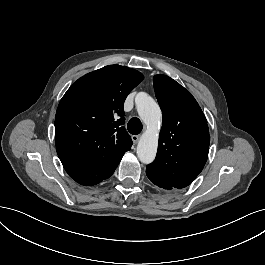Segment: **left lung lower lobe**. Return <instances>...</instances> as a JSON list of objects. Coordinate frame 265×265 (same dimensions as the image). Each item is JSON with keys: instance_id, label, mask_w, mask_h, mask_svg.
I'll return each instance as SVG.
<instances>
[{"instance_id": "1", "label": "left lung lower lobe", "mask_w": 265, "mask_h": 265, "mask_svg": "<svg viewBox=\"0 0 265 265\" xmlns=\"http://www.w3.org/2000/svg\"><path fill=\"white\" fill-rule=\"evenodd\" d=\"M147 176H148V178L150 179V181H151L153 184L157 185V186L160 187V188H163V189H166V190H172V189H174V188H171V187L165 185L163 182L159 181L158 179L151 177V176L148 175V174H147Z\"/></svg>"}]
</instances>
